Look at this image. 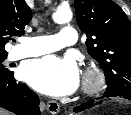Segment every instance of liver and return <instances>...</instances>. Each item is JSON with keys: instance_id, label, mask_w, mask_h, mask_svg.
Listing matches in <instances>:
<instances>
[{"instance_id": "6515ba94", "label": "liver", "mask_w": 131, "mask_h": 115, "mask_svg": "<svg viewBox=\"0 0 131 115\" xmlns=\"http://www.w3.org/2000/svg\"><path fill=\"white\" fill-rule=\"evenodd\" d=\"M0 115H10L7 111L0 108Z\"/></svg>"}]
</instances>
